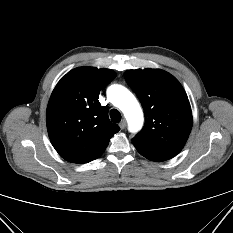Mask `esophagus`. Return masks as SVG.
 I'll list each match as a JSON object with an SVG mask.
<instances>
[{"label": "esophagus", "instance_id": "obj_1", "mask_svg": "<svg viewBox=\"0 0 233 233\" xmlns=\"http://www.w3.org/2000/svg\"><path fill=\"white\" fill-rule=\"evenodd\" d=\"M119 127L120 129H124L126 127V121L125 120H122L120 123H119Z\"/></svg>", "mask_w": 233, "mask_h": 233}]
</instances>
